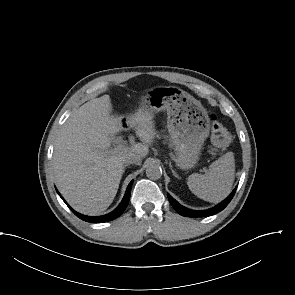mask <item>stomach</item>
Listing matches in <instances>:
<instances>
[{"label": "stomach", "instance_id": "0dacf381", "mask_svg": "<svg viewBox=\"0 0 295 295\" xmlns=\"http://www.w3.org/2000/svg\"><path fill=\"white\" fill-rule=\"evenodd\" d=\"M139 106L137 113L151 117L156 112L167 111V128L176 165L184 170L193 168L210 131V120L201 102L180 88L161 86L142 95Z\"/></svg>", "mask_w": 295, "mask_h": 295}]
</instances>
